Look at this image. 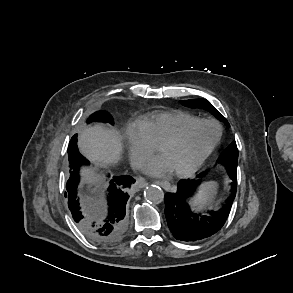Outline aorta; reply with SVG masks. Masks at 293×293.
<instances>
[{"mask_svg":"<svg viewBox=\"0 0 293 293\" xmlns=\"http://www.w3.org/2000/svg\"><path fill=\"white\" fill-rule=\"evenodd\" d=\"M144 197L148 202L159 204L164 199V192L159 186L151 185L145 189Z\"/></svg>","mask_w":293,"mask_h":293,"instance_id":"obj_1","label":"aorta"}]
</instances>
